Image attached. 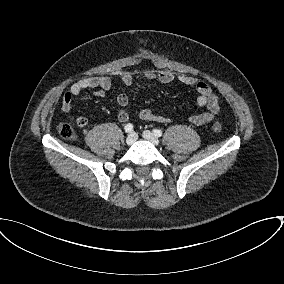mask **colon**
<instances>
[{
  "instance_id": "colon-1",
  "label": "colon",
  "mask_w": 284,
  "mask_h": 284,
  "mask_svg": "<svg viewBox=\"0 0 284 284\" xmlns=\"http://www.w3.org/2000/svg\"><path fill=\"white\" fill-rule=\"evenodd\" d=\"M212 128L215 132H220L222 130V125L215 121L212 124ZM58 133L66 138V139H75L76 138V130L74 125L71 122H63L58 126Z\"/></svg>"
}]
</instances>
